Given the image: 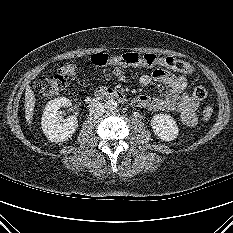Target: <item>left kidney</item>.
<instances>
[{"label":"left kidney","mask_w":233,"mask_h":233,"mask_svg":"<svg viewBox=\"0 0 233 233\" xmlns=\"http://www.w3.org/2000/svg\"><path fill=\"white\" fill-rule=\"evenodd\" d=\"M151 126L155 135L163 141L174 140L179 133L175 119L167 114H156L153 116Z\"/></svg>","instance_id":"left-kidney-1"}]
</instances>
